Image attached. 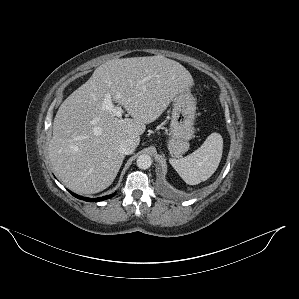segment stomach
<instances>
[{
	"instance_id": "obj_1",
	"label": "stomach",
	"mask_w": 299,
	"mask_h": 299,
	"mask_svg": "<svg viewBox=\"0 0 299 299\" xmlns=\"http://www.w3.org/2000/svg\"><path fill=\"white\" fill-rule=\"evenodd\" d=\"M196 100L189 89L173 99V111L168 133L167 147L171 156H179L189 150V140L194 137Z\"/></svg>"
}]
</instances>
